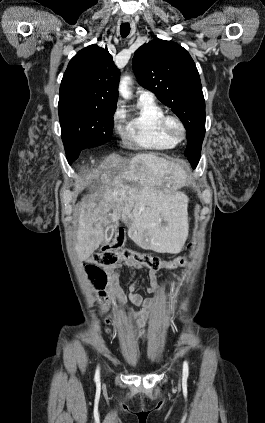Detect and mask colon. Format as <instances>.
Instances as JSON below:
<instances>
[{
  "label": "colon",
  "mask_w": 265,
  "mask_h": 423,
  "mask_svg": "<svg viewBox=\"0 0 265 423\" xmlns=\"http://www.w3.org/2000/svg\"><path fill=\"white\" fill-rule=\"evenodd\" d=\"M126 235L123 229H118L110 242L95 252L85 265L86 273L92 284L99 289L97 297L101 304L107 302V295L102 288L106 284V275L100 266H109L120 260L133 261L149 271L158 273L163 269H176L185 263V258L179 257L170 261L162 260L142 252L124 247Z\"/></svg>",
  "instance_id": "colon-1"
}]
</instances>
